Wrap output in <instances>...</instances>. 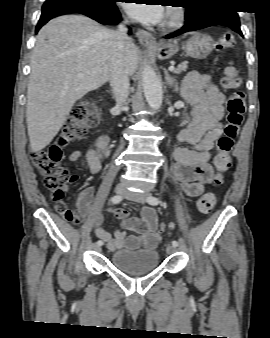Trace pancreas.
I'll use <instances>...</instances> for the list:
<instances>
[{
	"instance_id": "cf45deb5",
	"label": "pancreas",
	"mask_w": 270,
	"mask_h": 338,
	"mask_svg": "<svg viewBox=\"0 0 270 338\" xmlns=\"http://www.w3.org/2000/svg\"><path fill=\"white\" fill-rule=\"evenodd\" d=\"M187 69V62H184L180 65H178V67L174 70L175 74H180L181 72L185 71Z\"/></svg>"
}]
</instances>
